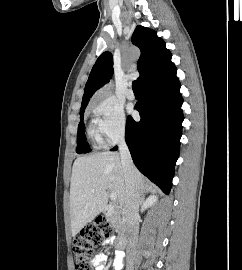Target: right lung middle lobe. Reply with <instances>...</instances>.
<instances>
[{
    "label": "right lung middle lobe",
    "mask_w": 242,
    "mask_h": 270,
    "mask_svg": "<svg viewBox=\"0 0 242 270\" xmlns=\"http://www.w3.org/2000/svg\"><path fill=\"white\" fill-rule=\"evenodd\" d=\"M85 108H82L80 110V120L81 122L78 125V133H77V148L76 152L81 154V153H88L90 152V148L86 142L85 134H84V123L83 121V114H84Z\"/></svg>",
    "instance_id": "right-lung-middle-lobe-1"
}]
</instances>
